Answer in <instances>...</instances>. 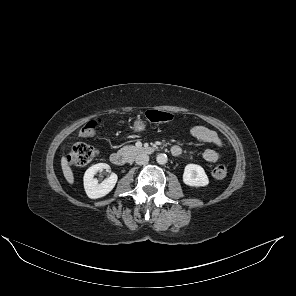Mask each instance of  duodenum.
Masks as SVG:
<instances>
[{
    "mask_svg": "<svg viewBox=\"0 0 296 296\" xmlns=\"http://www.w3.org/2000/svg\"><path fill=\"white\" fill-rule=\"evenodd\" d=\"M154 151L153 148L149 147L144 149V153L151 154ZM130 160V157L121 152H113L110 154V161L116 166H123L127 164Z\"/></svg>",
    "mask_w": 296,
    "mask_h": 296,
    "instance_id": "410a0bca",
    "label": "duodenum"
}]
</instances>
